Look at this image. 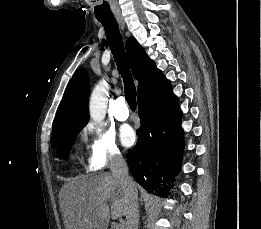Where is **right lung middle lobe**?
Listing matches in <instances>:
<instances>
[{
	"label": "right lung middle lobe",
	"mask_w": 261,
	"mask_h": 229,
	"mask_svg": "<svg viewBox=\"0 0 261 229\" xmlns=\"http://www.w3.org/2000/svg\"><path fill=\"white\" fill-rule=\"evenodd\" d=\"M85 125L64 126L58 129L59 135L63 138V142L58 146L56 156L60 159H66L73 141Z\"/></svg>",
	"instance_id": "obj_1"
}]
</instances>
